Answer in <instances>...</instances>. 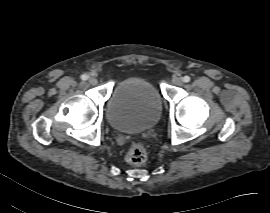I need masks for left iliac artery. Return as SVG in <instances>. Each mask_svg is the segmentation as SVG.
<instances>
[{"instance_id":"left-iliac-artery-1","label":"left iliac artery","mask_w":270,"mask_h":213,"mask_svg":"<svg viewBox=\"0 0 270 213\" xmlns=\"http://www.w3.org/2000/svg\"><path fill=\"white\" fill-rule=\"evenodd\" d=\"M190 80H191V79H190L189 76H184V77H183V81H184L185 83H188Z\"/></svg>"}]
</instances>
